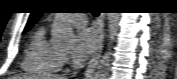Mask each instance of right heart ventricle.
<instances>
[{"mask_svg":"<svg viewBox=\"0 0 177 79\" xmlns=\"http://www.w3.org/2000/svg\"><path fill=\"white\" fill-rule=\"evenodd\" d=\"M62 52L47 40L46 29L35 31L24 52L22 67L25 71L39 74H55L63 64Z\"/></svg>","mask_w":177,"mask_h":79,"instance_id":"e07e8e85","label":"right heart ventricle"}]
</instances>
